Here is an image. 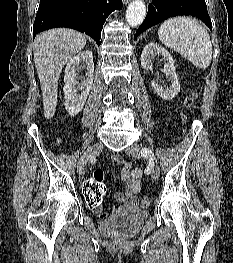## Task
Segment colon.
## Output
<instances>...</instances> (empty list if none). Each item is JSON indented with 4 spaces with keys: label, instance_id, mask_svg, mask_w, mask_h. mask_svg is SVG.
I'll use <instances>...</instances> for the list:
<instances>
[{
    "label": "colon",
    "instance_id": "1",
    "mask_svg": "<svg viewBox=\"0 0 233 263\" xmlns=\"http://www.w3.org/2000/svg\"><path fill=\"white\" fill-rule=\"evenodd\" d=\"M196 100V93L189 94L184 100L185 108H190ZM182 121H187L186 114L181 115ZM91 178H83L84 183V198L86 199L85 208H96L97 205H100L102 197L105 194V185L103 182V176L106 175L104 169H92ZM150 204L149 198L144 196L141 199V205L143 207H148Z\"/></svg>",
    "mask_w": 233,
    "mask_h": 263
}]
</instances>
